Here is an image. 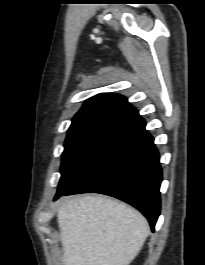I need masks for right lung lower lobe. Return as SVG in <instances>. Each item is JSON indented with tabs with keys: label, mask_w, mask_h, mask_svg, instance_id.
<instances>
[{
	"label": "right lung lower lobe",
	"mask_w": 205,
	"mask_h": 265,
	"mask_svg": "<svg viewBox=\"0 0 205 265\" xmlns=\"http://www.w3.org/2000/svg\"><path fill=\"white\" fill-rule=\"evenodd\" d=\"M145 126L142 118L127 126L54 200L78 193L110 195L141 211L154 231L160 213L162 170L154 138Z\"/></svg>",
	"instance_id": "right-lung-lower-lobe-1"
}]
</instances>
